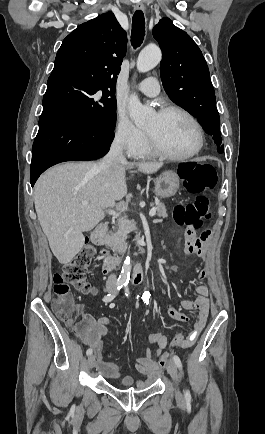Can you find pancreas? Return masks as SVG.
Here are the masks:
<instances>
[{
    "label": "pancreas",
    "mask_w": 265,
    "mask_h": 434,
    "mask_svg": "<svg viewBox=\"0 0 265 434\" xmlns=\"http://www.w3.org/2000/svg\"><path fill=\"white\" fill-rule=\"evenodd\" d=\"M156 212L157 216H162V218H166L167 210L165 208V204L159 202V204H157ZM130 232H133V230L132 228H130V226H127V224H118V226H113V232H110L109 236H105V246H108V248H110V250H113V252H120V248H124V246H127V234H130Z\"/></svg>",
    "instance_id": "pancreas-1"
}]
</instances>
